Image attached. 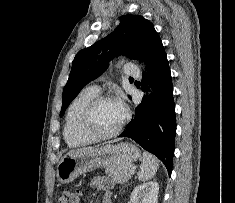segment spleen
<instances>
[{
  "label": "spleen",
  "instance_id": "1",
  "mask_svg": "<svg viewBox=\"0 0 235 203\" xmlns=\"http://www.w3.org/2000/svg\"><path fill=\"white\" fill-rule=\"evenodd\" d=\"M159 168L158 159L148 152H143V160L138 172L140 181H147L154 177Z\"/></svg>",
  "mask_w": 235,
  "mask_h": 203
}]
</instances>
